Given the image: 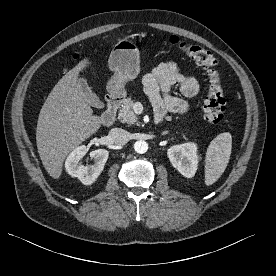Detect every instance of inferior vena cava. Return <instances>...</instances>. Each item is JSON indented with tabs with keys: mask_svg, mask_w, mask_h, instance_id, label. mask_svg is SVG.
<instances>
[{
	"mask_svg": "<svg viewBox=\"0 0 276 276\" xmlns=\"http://www.w3.org/2000/svg\"><path fill=\"white\" fill-rule=\"evenodd\" d=\"M109 135L112 142L117 145H125L129 140L127 131L121 128L111 129Z\"/></svg>",
	"mask_w": 276,
	"mask_h": 276,
	"instance_id": "obj_1",
	"label": "inferior vena cava"
}]
</instances>
